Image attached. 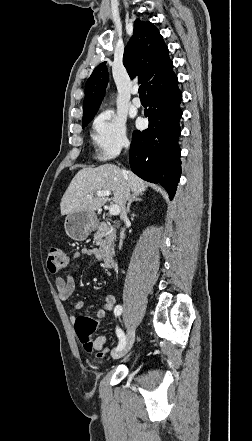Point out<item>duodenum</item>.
<instances>
[{"instance_id": "obj_1", "label": "duodenum", "mask_w": 252, "mask_h": 441, "mask_svg": "<svg viewBox=\"0 0 252 441\" xmlns=\"http://www.w3.org/2000/svg\"><path fill=\"white\" fill-rule=\"evenodd\" d=\"M116 225H120L119 221L115 222ZM102 262L105 268L110 269L114 265V253L107 252L102 256Z\"/></svg>"}]
</instances>
